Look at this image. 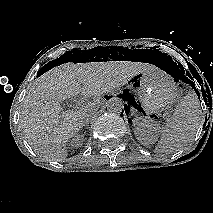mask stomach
Masks as SVG:
<instances>
[{
    "label": "stomach",
    "mask_w": 213,
    "mask_h": 213,
    "mask_svg": "<svg viewBox=\"0 0 213 213\" xmlns=\"http://www.w3.org/2000/svg\"><path fill=\"white\" fill-rule=\"evenodd\" d=\"M131 81L139 87L142 107L149 114H158L178 101L175 83L156 71L139 73Z\"/></svg>",
    "instance_id": "obj_1"
}]
</instances>
